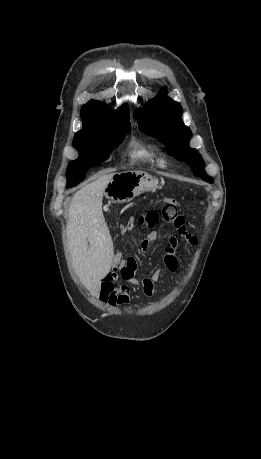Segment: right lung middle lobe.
Listing matches in <instances>:
<instances>
[{"instance_id": "obj_1", "label": "right lung middle lobe", "mask_w": 261, "mask_h": 459, "mask_svg": "<svg viewBox=\"0 0 261 459\" xmlns=\"http://www.w3.org/2000/svg\"><path fill=\"white\" fill-rule=\"evenodd\" d=\"M130 132V123H128L76 134L73 145L79 152V158L68 165L67 186L80 183L90 167L107 160L113 149L123 141L126 133Z\"/></svg>"}]
</instances>
